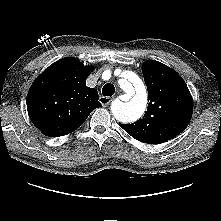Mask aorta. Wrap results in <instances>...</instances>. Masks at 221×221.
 Instances as JSON below:
<instances>
[{"label": "aorta", "mask_w": 221, "mask_h": 221, "mask_svg": "<svg viewBox=\"0 0 221 221\" xmlns=\"http://www.w3.org/2000/svg\"><path fill=\"white\" fill-rule=\"evenodd\" d=\"M119 85L126 93L127 102L114 101L113 116L121 122L135 121L142 116L147 105V93L141 79L133 72H126Z\"/></svg>", "instance_id": "1"}]
</instances>
